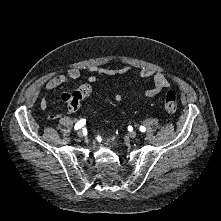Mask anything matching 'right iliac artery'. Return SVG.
Segmentation results:
<instances>
[{
    "label": "right iliac artery",
    "instance_id": "82829eb1",
    "mask_svg": "<svg viewBox=\"0 0 221 221\" xmlns=\"http://www.w3.org/2000/svg\"><path fill=\"white\" fill-rule=\"evenodd\" d=\"M86 123V120L85 119H82L80 121H78L76 124H75V130H78L80 128H82Z\"/></svg>",
    "mask_w": 221,
    "mask_h": 221
}]
</instances>
